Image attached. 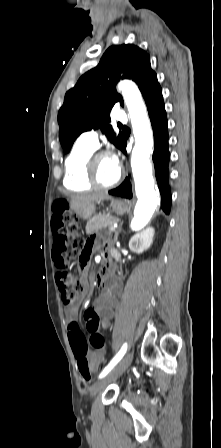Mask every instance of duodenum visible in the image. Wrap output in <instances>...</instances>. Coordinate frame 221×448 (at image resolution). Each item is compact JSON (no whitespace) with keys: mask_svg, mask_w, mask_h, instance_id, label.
<instances>
[{"mask_svg":"<svg viewBox=\"0 0 221 448\" xmlns=\"http://www.w3.org/2000/svg\"><path fill=\"white\" fill-rule=\"evenodd\" d=\"M110 265V256H107V263L105 265V267L100 271L99 275H98V281H99V285L101 287H104L106 285H108L109 283V273H108V267Z\"/></svg>","mask_w":221,"mask_h":448,"instance_id":"duodenum-1","label":"duodenum"}]
</instances>
